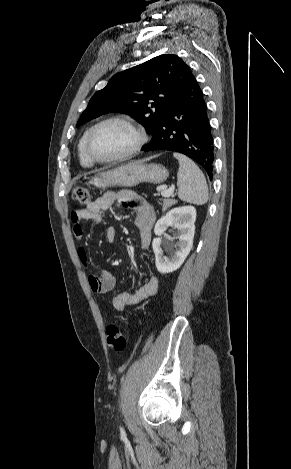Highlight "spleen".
Segmentation results:
<instances>
[{"mask_svg":"<svg viewBox=\"0 0 291 469\" xmlns=\"http://www.w3.org/2000/svg\"><path fill=\"white\" fill-rule=\"evenodd\" d=\"M179 161L177 173L178 197L185 202L203 205L208 201V186L204 174L187 156L174 153Z\"/></svg>","mask_w":291,"mask_h":469,"instance_id":"3e777b00","label":"spleen"}]
</instances>
